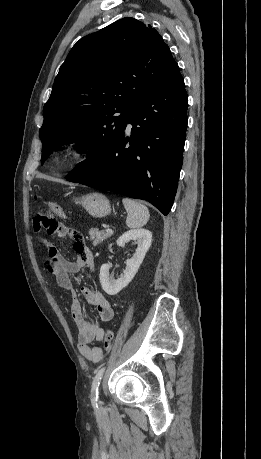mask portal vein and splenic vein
<instances>
[{
  "label": "portal vein and splenic vein",
  "mask_w": 261,
  "mask_h": 459,
  "mask_svg": "<svg viewBox=\"0 0 261 459\" xmlns=\"http://www.w3.org/2000/svg\"><path fill=\"white\" fill-rule=\"evenodd\" d=\"M106 232L113 233V230L111 228H106Z\"/></svg>",
  "instance_id": "portal-vein-and-splenic-vein-1"
}]
</instances>
